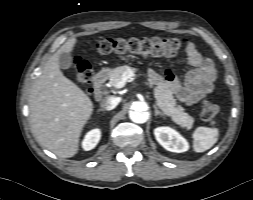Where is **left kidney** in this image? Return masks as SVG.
<instances>
[{
  "mask_svg": "<svg viewBox=\"0 0 253 200\" xmlns=\"http://www.w3.org/2000/svg\"><path fill=\"white\" fill-rule=\"evenodd\" d=\"M154 135L158 143L168 151L182 153L189 149L187 140L170 127H157Z\"/></svg>",
  "mask_w": 253,
  "mask_h": 200,
  "instance_id": "obj_1",
  "label": "left kidney"
}]
</instances>
